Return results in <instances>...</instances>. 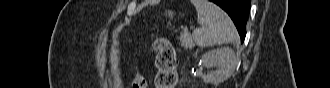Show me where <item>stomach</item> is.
<instances>
[{
  "label": "stomach",
  "instance_id": "0dacf381",
  "mask_svg": "<svg viewBox=\"0 0 330 88\" xmlns=\"http://www.w3.org/2000/svg\"><path fill=\"white\" fill-rule=\"evenodd\" d=\"M166 15H168V17L172 18L173 15H174V13H173L172 11H168V12L166 13Z\"/></svg>",
  "mask_w": 330,
  "mask_h": 88
}]
</instances>
